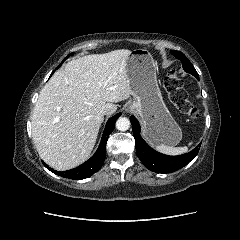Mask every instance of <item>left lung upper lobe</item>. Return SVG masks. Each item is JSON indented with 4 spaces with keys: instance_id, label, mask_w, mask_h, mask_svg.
<instances>
[{
    "instance_id": "5c2ea615",
    "label": "left lung upper lobe",
    "mask_w": 240,
    "mask_h": 240,
    "mask_svg": "<svg viewBox=\"0 0 240 240\" xmlns=\"http://www.w3.org/2000/svg\"><path fill=\"white\" fill-rule=\"evenodd\" d=\"M171 53L182 62L183 69L187 72L192 74L193 76L198 75L197 71L195 70L192 63L188 60V58L180 51L172 50Z\"/></svg>"
}]
</instances>
